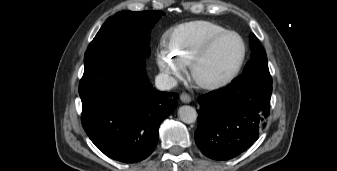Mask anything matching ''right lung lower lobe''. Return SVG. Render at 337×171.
I'll return each instance as SVG.
<instances>
[{
    "label": "right lung lower lobe",
    "instance_id": "right-lung-lower-lobe-1",
    "mask_svg": "<svg viewBox=\"0 0 337 171\" xmlns=\"http://www.w3.org/2000/svg\"><path fill=\"white\" fill-rule=\"evenodd\" d=\"M79 94L81 121L89 138L105 155L125 163L142 161L152 153L159 126L179 97L152 88L144 56L125 50L89 59Z\"/></svg>",
    "mask_w": 337,
    "mask_h": 171
}]
</instances>
